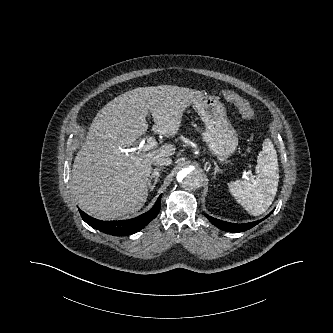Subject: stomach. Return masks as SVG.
I'll list each match as a JSON object with an SVG mask.
<instances>
[{"mask_svg":"<svg viewBox=\"0 0 333 333\" xmlns=\"http://www.w3.org/2000/svg\"><path fill=\"white\" fill-rule=\"evenodd\" d=\"M193 106L204 122L203 140L209 151L227 159L238 146V135L227 118L225 106L216 96H202Z\"/></svg>","mask_w":333,"mask_h":333,"instance_id":"obj_1","label":"stomach"}]
</instances>
